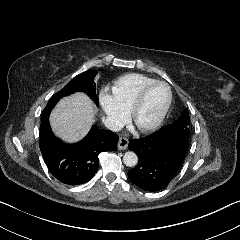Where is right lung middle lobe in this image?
<instances>
[{
    "label": "right lung middle lobe",
    "instance_id": "right-lung-middle-lobe-1",
    "mask_svg": "<svg viewBox=\"0 0 240 240\" xmlns=\"http://www.w3.org/2000/svg\"><path fill=\"white\" fill-rule=\"evenodd\" d=\"M97 74L95 70L86 71L79 76L73 78L63 89L55 93L42 113V118L48 116L57 102L64 96H68L75 92H84L91 97L98 105V97L96 96V85L94 77Z\"/></svg>",
    "mask_w": 240,
    "mask_h": 240
}]
</instances>
